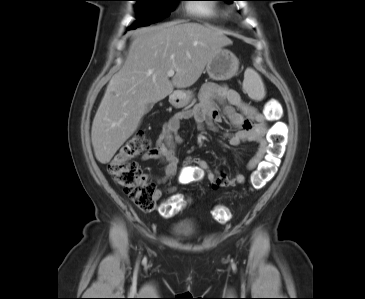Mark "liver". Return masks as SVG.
<instances>
[{
  "instance_id": "1",
  "label": "liver",
  "mask_w": 365,
  "mask_h": 299,
  "mask_svg": "<svg viewBox=\"0 0 365 299\" xmlns=\"http://www.w3.org/2000/svg\"><path fill=\"white\" fill-rule=\"evenodd\" d=\"M231 44L224 31L198 23L170 22L137 30L92 123L96 159L109 163L137 130L149 103L164 99L174 88L193 85L217 51ZM169 70L175 71L171 80Z\"/></svg>"
}]
</instances>
